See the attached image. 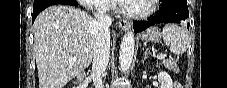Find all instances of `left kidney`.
I'll use <instances>...</instances> for the list:
<instances>
[{
    "label": "left kidney",
    "instance_id": "5707ae66",
    "mask_svg": "<svg viewBox=\"0 0 227 88\" xmlns=\"http://www.w3.org/2000/svg\"><path fill=\"white\" fill-rule=\"evenodd\" d=\"M158 81L160 84V88H172L173 87V81L170 77V75L166 72H159L158 73Z\"/></svg>",
    "mask_w": 227,
    "mask_h": 88
}]
</instances>
